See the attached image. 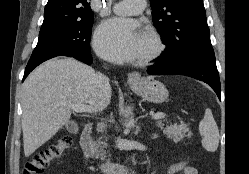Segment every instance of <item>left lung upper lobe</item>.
I'll return each instance as SVG.
<instances>
[{"label": "left lung upper lobe", "mask_w": 249, "mask_h": 174, "mask_svg": "<svg viewBox=\"0 0 249 174\" xmlns=\"http://www.w3.org/2000/svg\"><path fill=\"white\" fill-rule=\"evenodd\" d=\"M152 20L167 45L166 63L214 53L203 0H151Z\"/></svg>", "instance_id": "5c2ea615"}]
</instances>
